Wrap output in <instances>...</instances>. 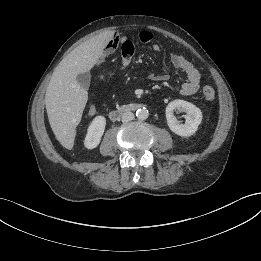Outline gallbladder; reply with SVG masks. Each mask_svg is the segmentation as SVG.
<instances>
[{
    "label": "gallbladder",
    "mask_w": 261,
    "mask_h": 261,
    "mask_svg": "<svg viewBox=\"0 0 261 261\" xmlns=\"http://www.w3.org/2000/svg\"><path fill=\"white\" fill-rule=\"evenodd\" d=\"M76 80L83 88H88L90 85L91 75L90 73H80L77 75Z\"/></svg>",
    "instance_id": "gallbladder-1"
}]
</instances>
